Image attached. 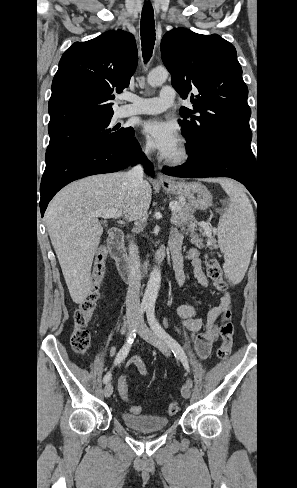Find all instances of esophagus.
Segmentation results:
<instances>
[{
  "label": "esophagus",
  "mask_w": 297,
  "mask_h": 488,
  "mask_svg": "<svg viewBox=\"0 0 297 488\" xmlns=\"http://www.w3.org/2000/svg\"><path fill=\"white\" fill-rule=\"evenodd\" d=\"M157 180L161 184H166V185L171 184V180L160 173L157 175Z\"/></svg>",
  "instance_id": "34e87169"
}]
</instances>
